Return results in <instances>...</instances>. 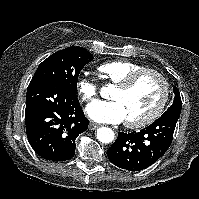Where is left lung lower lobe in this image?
<instances>
[{
	"instance_id": "left-lung-lower-lobe-1",
	"label": "left lung lower lobe",
	"mask_w": 199,
	"mask_h": 199,
	"mask_svg": "<svg viewBox=\"0 0 199 199\" xmlns=\"http://www.w3.org/2000/svg\"><path fill=\"white\" fill-rule=\"evenodd\" d=\"M178 119L173 115L161 116L138 132H119L107 151L109 161L129 171H140L151 166L170 147Z\"/></svg>"
}]
</instances>
